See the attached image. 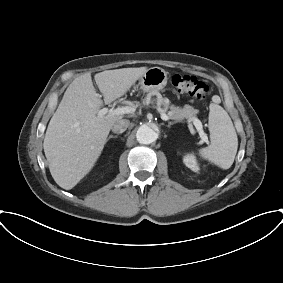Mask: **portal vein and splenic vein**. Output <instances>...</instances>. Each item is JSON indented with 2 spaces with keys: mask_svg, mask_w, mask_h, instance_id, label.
<instances>
[{
  "mask_svg": "<svg viewBox=\"0 0 283 283\" xmlns=\"http://www.w3.org/2000/svg\"><path fill=\"white\" fill-rule=\"evenodd\" d=\"M135 112V108L131 107V106H122V107H118L116 109H108L107 107L99 110L98 115L103 116L106 115L107 113L112 114V115H123V114H129V113H133ZM161 119L164 121L169 120V116L165 113H161ZM193 125L195 126V128L197 129V131L199 132V135L201 137V139L204 142H208V137L205 134V132L203 131V126L202 123L199 119L195 118L194 120H192Z\"/></svg>",
  "mask_w": 283,
  "mask_h": 283,
  "instance_id": "1",
  "label": "portal vein and splenic vein"
}]
</instances>
